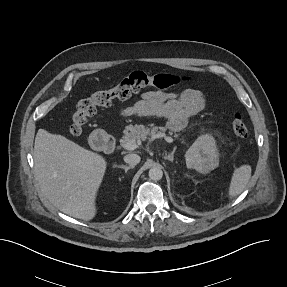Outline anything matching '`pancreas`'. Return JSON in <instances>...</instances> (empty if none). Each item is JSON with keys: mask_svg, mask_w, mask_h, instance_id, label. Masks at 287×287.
Masks as SVG:
<instances>
[{"mask_svg": "<svg viewBox=\"0 0 287 287\" xmlns=\"http://www.w3.org/2000/svg\"><path fill=\"white\" fill-rule=\"evenodd\" d=\"M166 131L165 127H145L144 125H128L124 130V136L121 140L122 146L131 140H147L148 136L155 139L160 137ZM172 135V132H169ZM174 137L177 138L178 134H174Z\"/></svg>", "mask_w": 287, "mask_h": 287, "instance_id": "pancreas-1", "label": "pancreas"}]
</instances>
